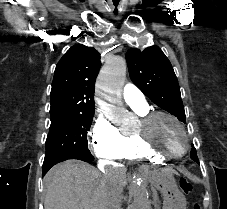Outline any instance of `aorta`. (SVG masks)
<instances>
[{
  "label": "aorta",
  "instance_id": "obj_1",
  "mask_svg": "<svg viewBox=\"0 0 227 209\" xmlns=\"http://www.w3.org/2000/svg\"><path fill=\"white\" fill-rule=\"evenodd\" d=\"M126 61L122 57H110L100 71L96 88L98 104L103 113L111 118L126 113L121 105V94L126 77ZM133 202L130 209H149L148 191L139 177L130 183Z\"/></svg>",
  "mask_w": 227,
  "mask_h": 209
}]
</instances>
